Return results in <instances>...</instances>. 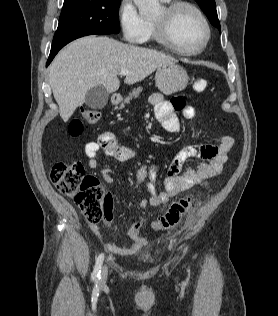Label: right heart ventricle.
<instances>
[{
	"mask_svg": "<svg viewBox=\"0 0 278 316\" xmlns=\"http://www.w3.org/2000/svg\"><path fill=\"white\" fill-rule=\"evenodd\" d=\"M164 1H170V0H164ZM146 23H147L146 33H145V36H144L142 42L143 43H149V42L160 43L155 36L152 20H146Z\"/></svg>",
	"mask_w": 278,
	"mask_h": 316,
	"instance_id": "right-heart-ventricle-1",
	"label": "right heart ventricle"
}]
</instances>
